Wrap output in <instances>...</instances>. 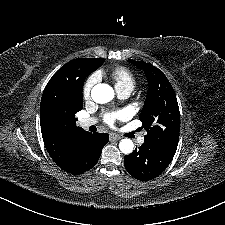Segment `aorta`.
Masks as SVG:
<instances>
[{"instance_id":"762f6f07","label":"aorta","mask_w":225,"mask_h":225,"mask_svg":"<svg viewBox=\"0 0 225 225\" xmlns=\"http://www.w3.org/2000/svg\"><path fill=\"white\" fill-rule=\"evenodd\" d=\"M91 97L96 103L104 104L113 99L114 90L108 84L100 83L92 88ZM133 148L134 144L130 139H122L119 143V149L124 154H130Z\"/></svg>"}]
</instances>
